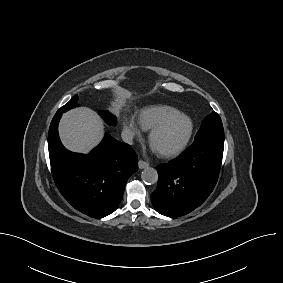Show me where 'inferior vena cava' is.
<instances>
[{"mask_svg":"<svg viewBox=\"0 0 283 283\" xmlns=\"http://www.w3.org/2000/svg\"><path fill=\"white\" fill-rule=\"evenodd\" d=\"M121 137H122V140L125 143L132 144L133 138H134V133L129 129H125V130L122 131Z\"/></svg>","mask_w":283,"mask_h":283,"instance_id":"obj_1","label":"inferior vena cava"}]
</instances>
